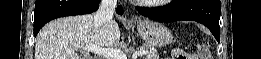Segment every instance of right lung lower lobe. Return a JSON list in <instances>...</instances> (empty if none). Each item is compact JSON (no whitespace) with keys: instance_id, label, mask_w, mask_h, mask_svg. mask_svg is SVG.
I'll list each match as a JSON object with an SVG mask.
<instances>
[{"instance_id":"98d812e1","label":"right lung lower lobe","mask_w":261,"mask_h":59,"mask_svg":"<svg viewBox=\"0 0 261 59\" xmlns=\"http://www.w3.org/2000/svg\"><path fill=\"white\" fill-rule=\"evenodd\" d=\"M100 0H36L34 13V36L49 21L71 15L92 13L98 9ZM117 13L123 14L121 6Z\"/></svg>"}]
</instances>
